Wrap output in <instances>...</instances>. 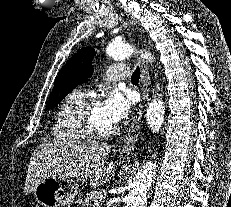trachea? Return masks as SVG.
<instances>
[{
  "label": "trachea",
  "mask_w": 231,
  "mask_h": 207,
  "mask_svg": "<svg viewBox=\"0 0 231 207\" xmlns=\"http://www.w3.org/2000/svg\"><path fill=\"white\" fill-rule=\"evenodd\" d=\"M139 79H140V69L139 67H137L136 70L132 74L131 81L133 83H138Z\"/></svg>",
  "instance_id": "1"
}]
</instances>
